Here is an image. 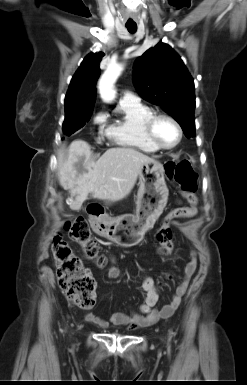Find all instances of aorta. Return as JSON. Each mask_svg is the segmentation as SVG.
I'll list each match as a JSON object with an SVG mask.
<instances>
[{
  "label": "aorta",
  "mask_w": 247,
  "mask_h": 385,
  "mask_svg": "<svg viewBox=\"0 0 247 385\" xmlns=\"http://www.w3.org/2000/svg\"><path fill=\"white\" fill-rule=\"evenodd\" d=\"M123 70V65L118 63H111L108 65L104 74L99 80V91L101 98L105 102H111L114 100L116 91L114 84Z\"/></svg>",
  "instance_id": "obj_1"
}]
</instances>
